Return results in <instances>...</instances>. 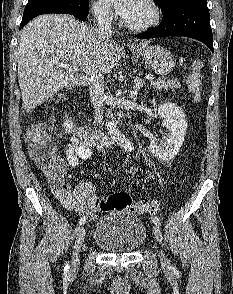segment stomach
<instances>
[{
	"mask_svg": "<svg viewBox=\"0 0 233 294\" xmlns=\"http://www.w3.org/2000/svg\"><path fill=\"white\" fill-rule=\"evenodd\" d=\"M135 54L142 57L145 63L159 75L170 73L175 66V60L170 51L161 46L140 47Z\"/></svg>",
	"mask_w": 233,
	"mask_h": 294,
	"instance_id": "obj_1",
	"label": "stomach"
}]
</instances>
